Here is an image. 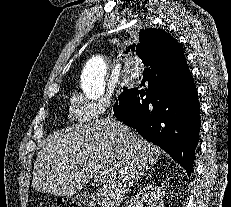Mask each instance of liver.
<instances>
[{
  "instance_id": "6515ba94",
  "label": "liver",
  "mask_w": 231,
  "mask_h": 207,
  "mask_svg": "<svg viewBox=\"0 0 231 207\" xmlns=\"http://www.w3.org/2000/svg\"><path fill=\"white\" fill-rule=\"evenodd\" d=\"M162 150L112 116L57 131L42 143L32 186L41 193L72 196L98 179L100 207H119L123 197L158 160Z\"/></svg>"
}]
</instances>
